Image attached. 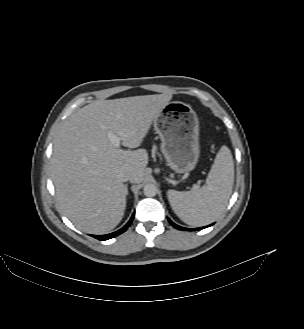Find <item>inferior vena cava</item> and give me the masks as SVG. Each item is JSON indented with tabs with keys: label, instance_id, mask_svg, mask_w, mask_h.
I'll list each match as a JSON object with an SVG mask.
<instances>
[{
	"label": "inferior vena cava",
	"instance_id": "1",
	"mask_svg": "<svg viewBox=\"0 0 304 329\" xmlns=\"http://www.w3.org/2000/svg\"><path fill=\"white\" fill-rule=\"evenodd\" d=\"M131 178H132V175H131L130 172L123 171V172L120 173V179L123 182L129 181V180H131Z\"/></svg>",
	"mask_w": 304,
	"mask_h": 329
}]
</instances>
